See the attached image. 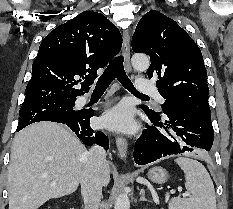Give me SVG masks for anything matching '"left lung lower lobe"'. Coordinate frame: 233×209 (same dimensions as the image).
<instances>
[{"instance_id":"1","label":"left lung lower lobe","mask_w":233,"mask_h":209,"mask_svg":"<svg viewBox=\"0 0 233 209\" xmlns=\"http://www.w3.org/2000/svg\"><path fill=\"white\" fill-rule=\"evenodd\" d=\"M144 111L153 125H147L135 143L133 156L138 165H145L167 155L193 151V147L206 151L211 149L214 134L211 121L187 112L167 114L166 120H161L147 110Z\"/></svg>"}]
</instances>
